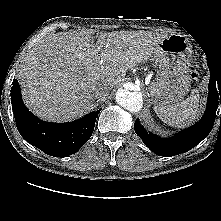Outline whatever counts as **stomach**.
Instances as JSON below:
<instances>
[{
  "mask_svg": "<svg viewBox=\"0 0 221 221\" xmlns=\"http://www.w3.org/2000/svg\"><path fill=\"white\" fill-rule=\"evenodd\" d=\"M191 53V44L183 35L172 34L159 42L154 53L159 69L148 88L155 107L178 103L189 92Z\"/></svg>",
  "mask_w": 221,
  "mask_h": 221,
  "instance_id": "stomach-1",
  "label": "stomach"
}]
</instances>
